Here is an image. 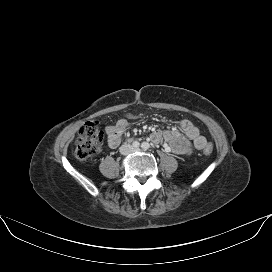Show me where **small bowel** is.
<instances>
[{
  "label": "small bowel",
  "instance_id": "c3829d8e",
  "mask_svg": "<svg viewBox=\"0 0 272 272\" xmlns=\"http://www.w3.org/2000/svg\"><path fill=\"white\" fill-rule=\"evenodd\" d=\"M181 130L154 131L151 139L155 143L165 141L168 149L177 155H191L194 150H202L207 140L200 134L199 129L188 119L179 121ZM129 127V121L119 119L115 124L106 127L109 145L112 147L120 143L122 133Z\"/></svg>",
  "mask_w": 272,
  "mask_h": 272
}]
</instances>
